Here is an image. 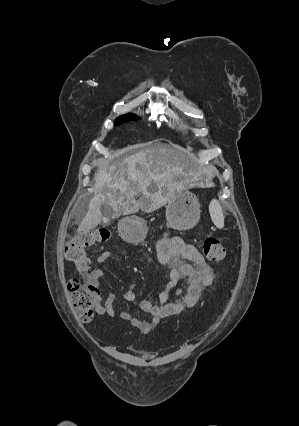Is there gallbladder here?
I'll use <instances>...</instances> for the list:
<instances>
[{"instance_id":"obj_1","label":"gallbladder","mask_w":299,"mask_h":426,"mask_svg":"<svg viewBox=\"0 0 299 426\" xmlns=\"http://www.w3.org/2000/svg\"><path fill=\"white\" fill-rule=\"evenodd\" d=\"M101 212H102V216L104 217V224L108 225L110 224V219L112 218V216H114V212L111 206L107 205V204H103L101 206Z\"/></svg>"}]
</instances>
